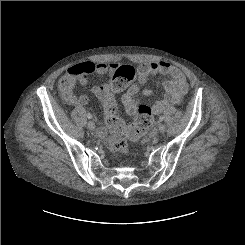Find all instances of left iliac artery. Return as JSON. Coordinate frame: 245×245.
I'll list each match as a JSON object with an SVG mask.
<instances>
[{"mask_svg":"<svg viewBox=\"0 0 245 245\" xmlns=\"http://www.w3.org/2000/svg\"><path fill=\"white\" fill-rule=\"evenodd\" d=\"M164 120V116L159 117V121L162 122Z\"/></svg>","mask_w":245,"mask_h":245,"instance_id":"left-iliac-artery-1","label":"left iliac artery"}]
</instances>
